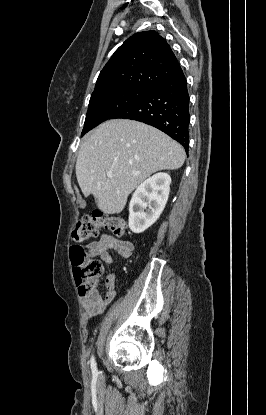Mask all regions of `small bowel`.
Instances as JSON below:
<instances>
[{
	"mask_svg": "<svg viewBox=\"0 0 266 415\" xmlns=\"http://www.w3.org/2000/svg\"><path fill=\"white\" fill-rule=\"evenodd\" d=\"M87 248L92 256L98 255L105 264L111 265L114 263V258L110 251H115L121 258L127 259L131 256L134 247L130 241L118 239L110 234H103L99 240L89 243ZM114 286L115 276L110 274L106 279L108 291L104 297L96 288L88 292L79 290L82 306L88 317H94L104 312L116 296Z\"/></svg>",
	"mask_w": 266,
	"mask_h": 415,
	"instance_id": "obj_1",
	"label": "small bowel"
}]
</instances>
